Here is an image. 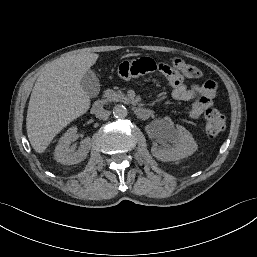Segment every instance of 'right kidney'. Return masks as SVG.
I'll list each match as a JSON object with an SVG mask.
<instances>
[{"label": "right kidney", "instance_id": "1", "mask_svg": "<svg viewBox=\"0 0 257 257\" xmlns=\"http://www.w3.org/2000/svg\"><path fill=\"white\" fill-rule=\"evenodd\" d=\"M77 133V127H71L67 132L60 138L58 145L55 148L54 157L56 161L64 165L78 164L85 160L87 154L89 153L91 143L90 138H85L80 143L78 151L71 148L70 145L75 139Z\"/></svg>", "mask_w": 257, "mask_h": 257}]
</instances>
